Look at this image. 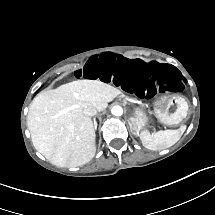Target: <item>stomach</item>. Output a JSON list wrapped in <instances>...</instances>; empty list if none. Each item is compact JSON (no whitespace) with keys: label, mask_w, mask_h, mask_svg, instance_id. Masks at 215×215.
Instances as JSON below:
<instances>
[{"label":"stomach","mask_w":215,"mask_h":215,"mask_svg":"<svg viewBox=\"0 0 215 215\" xmlns=\"http://www.w3.org/2000/svg\"><path fill=\"white\" fill-rule=\"evenodd\" d=\"M152 114L164 125H183L187 120L188 103L179 95H162L154 101ZM149 122L150 116L146 113L145 108L135 106L129 118L131 131L138 134L149 125Z\"/></svg>","instance_id":"0dacf381"}]
</instances>
